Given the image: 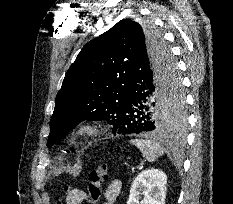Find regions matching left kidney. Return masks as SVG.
Segmentation results:
<instances>
[{
	"label": "left kidney",
	"instance_id": "5707ae66",
	"mask_svg": "<svg viewBox=\"0 0 233 204\" xmlns=\"http://www.w3.org/2000/svg\"><path fill=\"white\" fill-rule=\"evenodd\" d=\"M167 176L158 169L142 171L133 181L127 204H165ZM140 195H143L142 200Z\"/></svg>",
	"mask_w": 233,
	"mask_h": 204
}]
</instances>
